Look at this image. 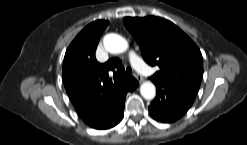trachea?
Segmentation results:
<instances>
[{"label":"trachea","mask_w":247,"mask_h":145,"mask_svg":"<svg viewBox=\"0 0 247 145\" xmlns=\"http://www.w3.org/2000/svg\"><path fill=\"white\" fill-rule=\"evenodd\" d=\"M131 74H132V69L130 67H127L125 70V68L122 66L117 70L116 77L121 78L124 75L130 76Z\"/></svg>","instance_id":"3493384b"}]
</instances>
